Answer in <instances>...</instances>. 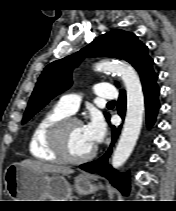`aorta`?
<instances>
[{
    "mask_svg": "<svg viewBox=\"0 0 176 211\" xmlns=\"http://www.w3.org/2000/svg\"><path fill=\"white\" fill-rule=\"evenodd\" d=\"M95 70L117 73L126 88L125 123L111 162L113 168L117 169L129 158L141 131L145 107L142 84L137 72L124 63L102 61L96 64Z\"/></svg>",
    "mask_w": 176,
    "mask_h": 211,
    "instance_id": "762f6f07",
    "label": "aorta"
}]
</instances>
